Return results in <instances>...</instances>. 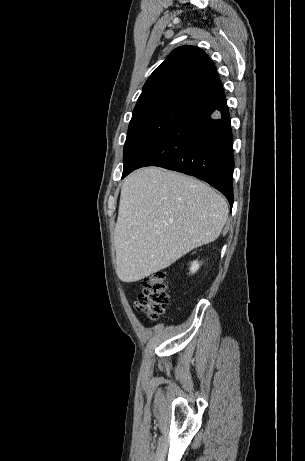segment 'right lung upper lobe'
Here are the masks:
<instances>
[{
	"label": "right lung upper lobe",
	"instance_id": "right-lung-upper-lobe-1",
	"mask_svg": "<svg viewBox=\"0 0 305 461\" xmlns=\"http://www.w3.org/2000/svg\"><path fill=\"white\" fill-rule=\"evenodd\" d=\"M222 88L216 67L198 47L173 50L146 81L135 110L160 105L191 107Z\"/></svg>",
	"mask_w": 305,
	"mask_h": 461
}]
</instances>
